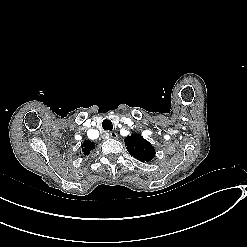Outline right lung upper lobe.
<instances>
[{
    "instance_id": "cb5924a9",
    "label": "right lung upper lobe",
    "mask_w": 247,
    "mask_h": 247,
    "mask_svg": "<svg viewBox=\"0 0 247 247\" xmlns=\"http://www.w3.org/2000/svg\"><path fill=\"white\" fill-rule=\"evenodd\" d=\"M93 147V142L85 141L82 145V152L84 153V155H88Z\"/></svg>"
}]
</instances>
